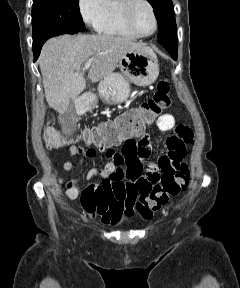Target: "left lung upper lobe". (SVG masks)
Returning <instances> with one entry per match:
<instances>
[{"label": "left lung upper lobe", "instance_id": "1", "mask_svg": "<svg viewBox=\"0 0 240 288\" xmlns=\"http://www.w3.org/2000/svg\"><path fill=\"white\" fill-rule=\"evenodd\" d=\"M155 10L159 25L158 42L163 46L178 47L176 21L171 0H148Z\"/></svg>", "mask_w": 240, "mask_h": 288}]
</instances>
